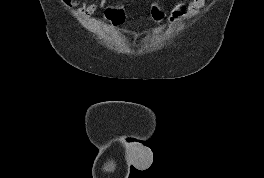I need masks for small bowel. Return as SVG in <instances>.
Wrapping results in <instances>:
<instances>
[{
    "mask_svg": "<svg viewBox=\"0 0 264 178\" xmlns=\"http://www.w3.org/2000/svg\"><path fill=\"white\" fill-rule=\"evenodd\" d=\"M205 0H185L177 3L166 15L168 26H174L194 17L204 6ZM78 11L86 16L92 15L99 8L103 11L109 6L107 0H75Z\"/></svg>",
    "mask_w": 264,
    "mask_h": 178,
    "instance_id": "c3829d8e",
    "label": "small bowel"
}]
</instances>
